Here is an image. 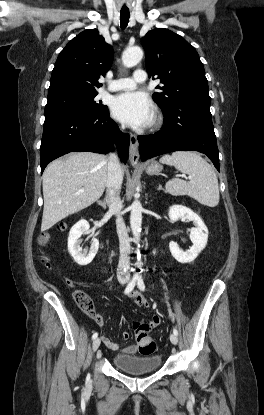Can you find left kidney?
Returning <instances> with one entry per match:
<instances>
[{
	"label": "left kidney",
	"instance_id": "obj_1",
	"mask_svg": "<svg viewBox=\"0 0 264 415\" xmlns=\"http://www.w3.org/2000/svg\"><path fill=\"white\" fill-rule=\"evenodd\" d=\"M168 215L171 221H177L179 219L193 221L195 227L190 233V239L193 245L189 250H180L178 244L174 241L169 243V249L172 256L180 263H190L194 261L207 244L208 229L206 225L196 213L183 205L171 206Z\"/></svg>",
	"mask_w": 264,
	"mask_h": 415
}]
</instances>
